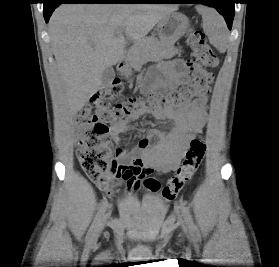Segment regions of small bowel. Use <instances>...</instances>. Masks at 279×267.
Masks as SVG:
<instances>
[{
    "label": "small bowel",
    "instance_id": "c3829d8e",
    "mask_svg": "<svg viewBox=\"0 0 279 267\" xmlns=\"http://www.w3.org/2000/svg\"><path fill=\"white\" fill-rule=\"evenodd\" d=\"M162 77L158 78L153 85H145L144 91L166 89L184 85L189 80V73L185 63L180 59H174L159 65ZM207 94L204 92L192 102L179 107H163L150 109L140 107L129 114L121 123L112 128V137L117 144H121L120 133L133 121L144 114L152 113L159 120H171L172 126L164 131L150 129L148 137L143 138L132 150L131 154H124L123 162L137 161L142 165V171L138 175L126 179L124 191L129 192L138 186V181L153 169L164 172L174 171L184 157L188 145L206 122ZM157 136L158 142L152 143L151 139ZM99 188L111 198H115L120 191L119 179L105 176L97 182Z\"/></svg>",
    "mask_w": 279,
    "mask_h": 267
}]
</instances>
